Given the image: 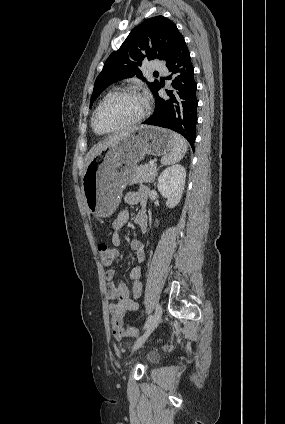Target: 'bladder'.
Instances as JSON below:
<instances>
[{"label": "bladder", "instance_id": "31cf9c89", "mask_svg": "<svg viewBox=\"0 0 285 424\" xmlns=\"http://www.w3.org/2000/svg\"><path fill=\"white\" fill-rule=\"evenodd\" d=\"M148 358L152 361H156L159 358V354L156 352H150L148 353Z\"/></svg>", "mask_w": 285, "mask_h": 424}]
</instances>
